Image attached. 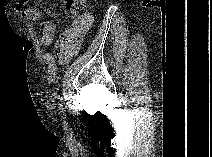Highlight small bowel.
<instances>
[{
  "mask_svg": "<svg viewBox=\"0 0 212 157\" xmlns=\"http://www.w3.org/2000/svg\"><path fill=\"white\" fill-rule=\"evenodd\" d=\"M27 0H17L16 10L27 20L39 22L40 36L38 42L41 46H49L55 37L56 26L50 20H45L40 11L26 8ZM93 16L90 13L84 14L75 20L69 27L62 31L55 43L53 53H44L42 61L47 66L48 79L54 81L57 76L56 60L60 64H67L72 56L77 52L82 38L90 29ZM74 36L73 38H67Z\"/></svg>",
  "mask_w": 212,
  "mask_h": 157,
  "instance_id": "obj_1",
  "label": "small bowel"
}]
</instances>
